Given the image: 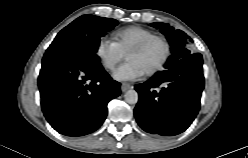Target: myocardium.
<instances>
[{
	"instance_id": "obj_1",
	"label": "myocardium",
	"mask_w": 248,
	"mask_h": 158,
	"mask_svg": "<svg viewBox=\"0 0 248 158\" xmlns=\"http://www.w3.org/2000/svg\"><path fill=\"white\" fill-rule=\"evenodd\" d=\"M153 41H159L162 44L163 52L159 62L152 69L146 72V74L149 76L154 75L160 70H162V68L165 66L166 62L168 61L170 55V44L168 40L162 35L153 34L138 42L127 53L128 56L132 52H138L144 50Z\"/></svg>"
}]
</instances>
